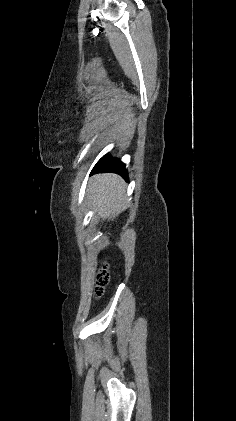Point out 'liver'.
<instances>
[{"label":"liver","mask_w":236,"mask_h":421,"mask_svg":"<svg viewBox=\"0 0 236 421\" xmlns=\"http://www.w3.org/2000/svg\"><path fill=\"white\" fill-rule=\"evenodd\" d=\"M86 192L99 217L112 221L120 213L121 204L125 200V182L119 174H94Z\"/></svg>","instance_id":"liver-1"}]
</instances>
